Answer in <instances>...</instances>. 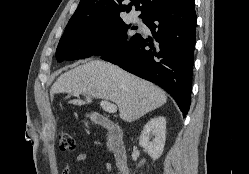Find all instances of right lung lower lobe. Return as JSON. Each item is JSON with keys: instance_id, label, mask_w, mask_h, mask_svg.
Wrapping results in <instances>:
<instances>
[{"instance_id": "1", "label": "right lung lower lobe", "mask_w": 249, "mask_h": 174, "mask_svg": "<svg viewBox=\"0 0 249 174\" xmlns=\"http://www.w3.org/2000/svg\"><path fill=\"white\" fill-rule=\"evenodd\" d=\"M196 20L194 0L163 9L144 19L153 39L140 36L129 47L101 58L166 90L185 117L190 108Z\"/></svg>"}]
</instances>
